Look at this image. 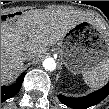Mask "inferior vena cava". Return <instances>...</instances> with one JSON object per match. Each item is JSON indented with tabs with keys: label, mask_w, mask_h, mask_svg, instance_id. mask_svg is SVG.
Here are the masks:
<instances>
[{
	"label": "inferior vena cava",
	"mask_w": 109,
	"mask_h": 109,
	"mask_svg": "<svg viewBox=\"0 0 109 109\" xmlns=\"http://www.w3.org/2000/svg\"><path fill=\"white\" fill-rule=\"evenodd\" d=\"M33 58H34V55L31 52H25V53L22 54V59L24 61L31 60Z\"/></svg>",
	"instance_id": "602c4592"
}]
</instances>
